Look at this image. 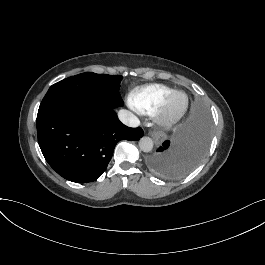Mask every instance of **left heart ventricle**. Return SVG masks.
<instances>
[{"mask_svg": "<svg viewBox=\"0 0 265 265\" xmlns=\"http://www.w3.org/2000/svg\"><path fill=\"white\" fill-rule=\"evenodd\" d=\"M184 102V98L182 96H177L172 104V111L177 112L181 108L182 104Z\"/></svg>", "mask_w": 265, "mask_h": 265, "instance_id": "1", "label": "left heart ventricle"}]
</instances>
